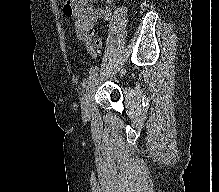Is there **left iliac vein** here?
Here are the masks:
<instances>
[{"mask_svg":"<svg viewBox=\"0 0 219 192\" xmlns=\"http://www.w3.org/2000/svg\"><path fill=\"white\" fill-rule=\"evenodd\" d=\"M93 86L84 94L81 100V109L83 117L87 118L91 111V102L93 99Z\"/></svg>","mask_w":219,"mask_h":192,"instance_id":"left-iliac-vein-1","label":"left iliac vein"}]
</instances>
